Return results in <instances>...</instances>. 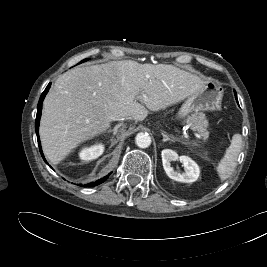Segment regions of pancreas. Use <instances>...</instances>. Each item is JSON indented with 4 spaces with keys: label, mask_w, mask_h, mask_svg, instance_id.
<instances>
[{
    "label": "pancreas",
    "mask_w": 267,
    "mask_h": 267,
    "mask_svg": "<svg viewBox=\"0 0 267 267\" xmlns=\"http://www.w3.org/2000/svg\"><path fill=\"white\" fill-rule=\"evenodd\" d=\"M186 123L191 126L193 131L198 132L204 138L208 137L206 124L196 114L189 116L186 120Z\"/></svg>",
    "instance_id": "pancreas-1"
}]
</instances>
